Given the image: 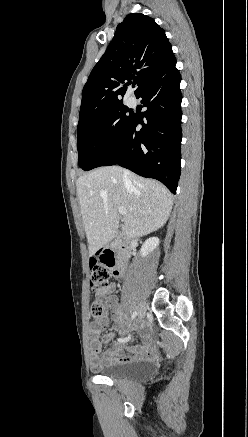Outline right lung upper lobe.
Wrapping results in <instances>:
<instances>
[{
    "mask_svg": "<svg viewBox=\"0 0 248 437\" xmlns=\"http://www.w3.org/2000/svg\"><path fill=\"white\" fill-rule=\"evenodd\" d=\"M173 56L165 31L154 19L140 13L127 15L83 88L78 126L121 103L131 79L136 94Z\"/></svg>",
    "mask_w": 248,
    "mask_h": 437,
    "instance_id": "obj_1",
    "label": "right lung upper lobe"
}]
</instances>
